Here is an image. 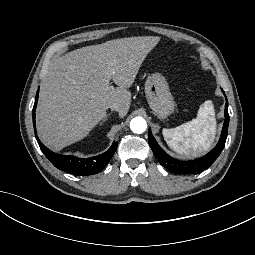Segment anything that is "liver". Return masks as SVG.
<instances>
[{
  "mask_svg": "<svg viewBox=\"0 0 255 255\" xmlns=\"http://www.w3.org/2000/svg\"><path fill=\"white\" fill-rule=\"evenodd\" d=\"M159 41L158 36L114 39L53 60L44 73L36 110L42 142L60 150L83 139L106 118L112 103L120 104L121 118L126 116L131 104L127 88Z\"/></svg>",
  "mask_w": 255,
  "mask_h": 255,
  "instance_id": "liver-1",
  "label": "liver"
}]
</instances>
